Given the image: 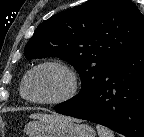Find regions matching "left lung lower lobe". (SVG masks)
<instances>
[{
	"label": "left lung lower lobe",
	"instance_id": "0a47b994",
	"mask_svg": "<svg viewBox=\"0 0 144 137\" xmlns=\"http://www.w3.org/2000/svg\"><path fill=\"white\" fill-rule=\"evenodd\" d=\"M56 112L104 125L126 137H144V29L91 91L58 105Z\"/></svg>",
	"mask_w": 144,
	"mask_h": 137
}]
</instances>
